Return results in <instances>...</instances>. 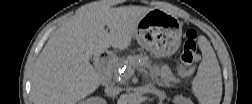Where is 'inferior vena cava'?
<instances>
[{"label": "inferior vena cava", "mask_w": 252, "mask_h": 104, "mask_svg": "<svg viewBox=\"0 0 252 104\" xmlns=\"http://www.w3.org/2000/svg\"><path fill=\"white\" fill-rule=\"evenodd\" d=\"M121 92V88L120 87H117L113 84L111 85H107L105 87V94L108 95V96H116L118 95L119 93Z\"/></svg>", "instance_id": "602c4592"}]
</instances>
